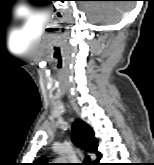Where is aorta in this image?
Returning <instances> with one entry per match:
<instances>
[{
  "label": "aorta",
  "mask_w": 154,
  "mask_h": 165,
  "mask_svg": "<svg viewBox=\"0 0 154 165\" xmlns=\"http://www.w3.org/2000/svg\"><path fill=\"white\" fill-rule=\"evenodd\" d=\"M57 161H59L58 163H63V161H65V159L60 157V158H57Z\"/></svg>",
  "instance_id": "1"
}]
</instances>
